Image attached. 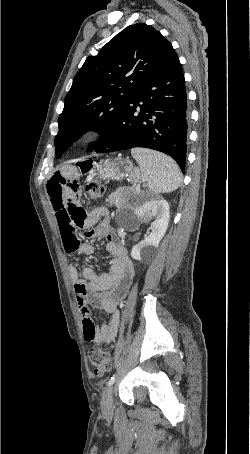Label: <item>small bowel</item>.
<instances>
[{
    "instance_id": "obj_1",
    "label": "small bowel",
    "mask_w": 250,
    "mask_h": 454,
    "mask_svg": "<svg viewBox=\"0 0 250 454\" xmlns=\"http://www.w3.org/2000/svg\"><path fill=\"white\" fill-rule=\"evenodd\" d=\"M47 191L55 211L62 241L67 253L90 255L92 245L81 244L77 229L84 230V237H104L106 251L111 257L108 273L97 275L90 267L80 271L75 265L69 266L82 317L83 337L97 344H109L116 336L120 323L119 305L125 298L134 276V269L127 250L110 226L105 208L87 212L79 198L82 186L78 179L56 174L47 182ZM90 306L103 309L109 321L97 326L90 317Z\"/></svg>"
}]
</instances>
